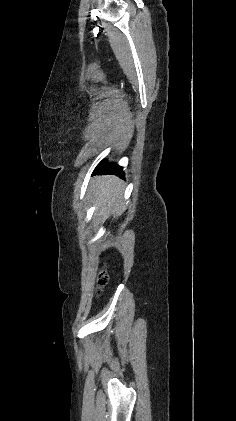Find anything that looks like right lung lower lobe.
I'll return each instance as SVG.
<instances>
[{
    "instance_id": "right-lung-lower-lobe-1",
    "label": "right lung lower lobe",
    "mask_w": 236,
    "mask_h": 421,
    "mask_svg": "<svg viewBox=\"0 0 236 421\" xmlns=\"http://www.w3.org/2000/svg\"><path fill=\"white\" fill-rule=\"evenodd\" d=\"M96 173H112L117 174L123 177L124 173L122 171V167L114 164V163H107L105 160L101 161L98 166L96 167L94 174Z\"/></svg>"
}]
</instances>
